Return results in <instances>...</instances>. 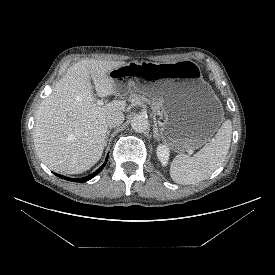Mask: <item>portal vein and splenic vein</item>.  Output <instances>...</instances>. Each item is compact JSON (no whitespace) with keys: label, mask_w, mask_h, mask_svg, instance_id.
Here are the masks:
<instances>
[{"label":"portal vein and splenic vein","mask_w":275,"mask_h":275,"mask_svg":"<svg viewBox=\"0 0 275 275\" xmlns=\"http://www.w3.org/2000/svg\"><path fill=\"white\" fill-rule=\"evenodd\" d=\"M97 104H98V105H103V101H102V100H98V101H97ZM187 153H188V156H191V155L193 154V150H192V149H189V150L187 151Z\"/></svg>","instance_id":"portal-vein-and-splenic-vein-1"}]
</instances>
